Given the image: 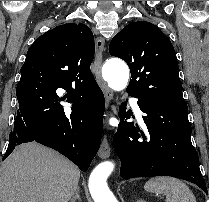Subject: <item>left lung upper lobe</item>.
<instances>
[{"instance_id":"left-lung-upper-lobe-1","label":"left lung upper lobe","mask_w":209,"mask_h":202,"mask_svg":"<svg viewBox=\"0 0 209 202\" xmlns=\"http://www.w3.org/2000/svg\"><path fill=\"white\" fill-rule=\"evenodd\" d=\"M109 52L130 68L128 94L158 104L187 107L174 47L157 26L147 21L128 24L111 40Z\"/></svg>"}]
</instances>
